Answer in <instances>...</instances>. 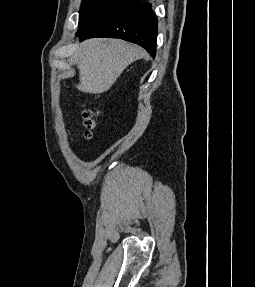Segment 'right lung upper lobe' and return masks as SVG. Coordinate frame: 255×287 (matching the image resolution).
Wrapping results in <instances>:
<instances>
[{
    "mask_svg": "<svg viewBox=\"0 0 255 287\" xmlns=\"http://www.w3.org/2000/svg\"><path fill=\"white\" fill-rule=\"evenodd\" d=\"M132 1V3H136V2H138V0H131Z\"/></svg>",
    "mask_w": 255,
    "mask_h": 287,
    "instance_id": "obj_1",
    "label": "right lung upper lobe"
}]
</instances>
